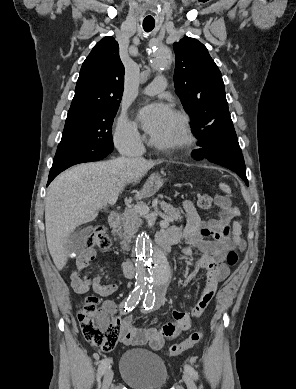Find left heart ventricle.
Listing matches in <instances>:
<instances>
[{"mask_svg":"<svg viewBox=\"0 0 296 389\" xmlns=\"http://www.w3.org/2000/svg\"><path fill=\"white\" fill-rule=\"evenodd\" d=\"M180 133L179 121L176 116L172 113L164 127L157 133L153 138L158 141L168 142L175 140Z\"/></svg>","mask_w":296,"mask_h":389,"instance_id":"left-heart-ventricle-1","label":"left heart ventricle"}]
</instances>
